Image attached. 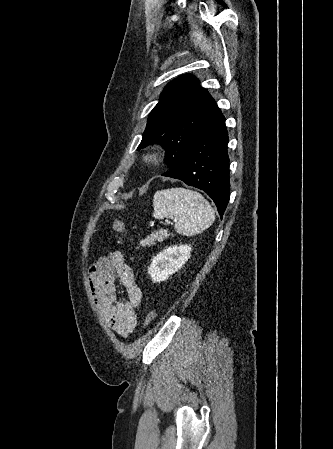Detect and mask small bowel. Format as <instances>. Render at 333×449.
I'll use <instances>...</instances> for the list:
<instances>
[{"label": "small bowel", "instance_id": "c3829d8e", "mask_svg": "<svg viewBox=\"0 0 333 449\" xmlns=\"http://www.w3.org/2000/svg\"><path fill=\"white\" fill-rule=\"evenodd\" d=\"M93 301L107 325L121 336H128L138 325L137 310L142 293L132 268L120 252L100 257L89 269ZM125 299L118 297L117 284Z\"/></svg>", "mask_w": 333, "mask_h": 449}]
</instances>
